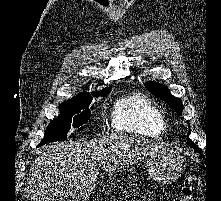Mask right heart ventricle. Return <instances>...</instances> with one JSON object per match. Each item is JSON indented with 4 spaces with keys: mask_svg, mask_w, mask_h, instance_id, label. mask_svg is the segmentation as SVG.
I'll return each instance as SVG.
<instances>
[{
    "mask_svg": "<svg viewBox=\"0 0 221 201\" xmlns=\"http://www.w3.org/2000/svg\"><path fill=\"white\" fill-rule=\"evenodd\" d=\"M111 123L117 132L142 137L158 138L166 130L163 112L140 93L125 95L115 102Z\"/></svg>",
    "mask_w": 221,
    "mask_h": 201,
    "instance_id": "obj_1",
    "label": "right heart ventricle"
}]
</instances>
